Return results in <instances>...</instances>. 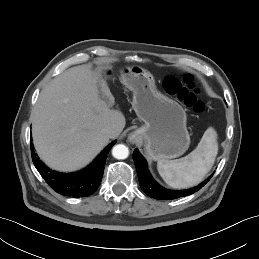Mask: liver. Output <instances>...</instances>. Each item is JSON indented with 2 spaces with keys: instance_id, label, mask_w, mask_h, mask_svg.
<instances>
[{
  "instance_id": "1",
  "label": "liver",
  "mask_w": 259,
  "mask_h": 259,
  "mask_svg": "<svg viewBox=\"0 0 259 259\" xmlns=\"http://www.w3.org/2000/svg\"><path fill=\"white\" fill-rule=\"evenodd\" d=\"M114 102L102 73L88 65L55 77L33 109L32 136L40 158L62 172L88 165L109 142L104 128L113 127L117 137L125 127L122 112L110 108Z\"/></svg>"
}]
</instances>
